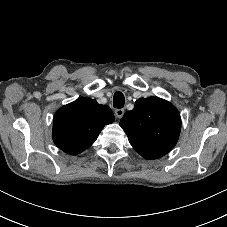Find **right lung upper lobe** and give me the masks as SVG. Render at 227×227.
<instances>
[{
    "label": "right lung upper lobe",
    "mask_w": 227,
    "mask_h": 227,
    "mask_svg": "<svg viewBox=\"0 0 227 227\" xmlns=\"http://www.w3.org/2000/svg\"><path fill=\"white\" fill-rule=\"evenodd\" d=\"M113 121L108 106L90 98H78L55 113L53 141L62 151L76 155L91 146L103 127Z\"/></svg>",
    "instance_id": "right-lung-upper-lobe-1"
}]
</instances>
